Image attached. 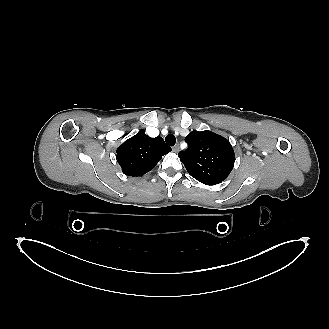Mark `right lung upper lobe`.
Here are the masks:
<instances>
[{
	"mask_svg": "<svg viewBox=\"0 0 329 329\" xmlns=\"http://www.w3.org/2000/svg\"><path fill=\"white\" fill-rule=\"evenodd\" d=\"M171 151L158 136L151 138L140 130L118 147L116 158L124 174L142 176L151 171L161 157Z\"/></svg>",
	"mask_w": 329,
	"mask_h": 329,
	"instance_id": "1",
	"label": "right lung upper lobe"
}]
</instances>
